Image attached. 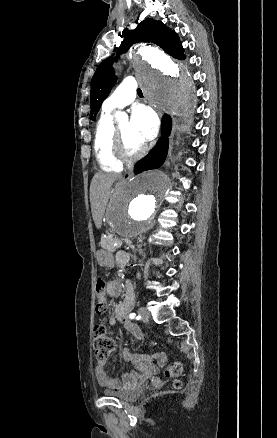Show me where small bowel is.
I'll list each match as a JSON object with an SVG mask.
<instances>
[{"label": "small bowel", "instance_id": "c3829d8e", "mask_svg": "<svg viewBox=\"0 0 277 438\" xmlns=\"http://www.w3.org/2000/svg\"><path fill=\"white\" fill-rule=\"evenodd\" d=\"M107 295L110 297H117L121 294L122 289L116 280H111L107 284ZM135 304V291L131 283L126 285L124 290L123 300L116 304L114 307V316H110L107 320V324L110 327L115 326L117 320H119L123 327L131 332L136 338H141L142 334L139 328L132 322L125 320V316L129 313ZM122 356L125 360L132 361L135 365V370L122 375L121 379L111 377L107 369V361L101 359L98 361L95 367V375L98 383L101 386L115 389L128 391L134 388L142 379L143 375L147 372V363L153 360L155 357L159 358L160 361H165L166 357L163 353L157 355H143V354H132L129 348L123 350Z\"/></svg>", "mask_w": 277, "mask_h": 438}]
</instances>
